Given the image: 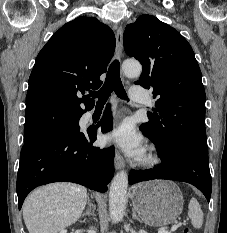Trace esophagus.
Segmentation results:
<instances>
[{
    "mask_svg": "<svg viewBox=\"0 0 227 233\" xmlns=\"http://www.w3.org/2000/svg\"><path fill=\"white\" fill-rule=\"evenodd\" d=\"M123 53V28L119 26L116 31V56L120 58ZM115 168L119 170L125 166V161L119 151L115 153Z\"/></svg>",
    "mask_w": 227,
    "mask_h": 233,
    "instance_id": "esophagus-1",
    "label": "esophagus"
}]
</instances>
